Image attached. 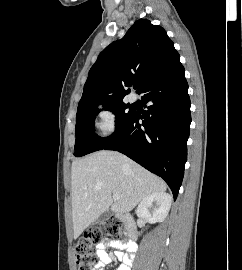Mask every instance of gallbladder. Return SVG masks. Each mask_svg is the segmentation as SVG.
<instances>
[{"instance_id":"bac80fb5","label":"gallbladder","mask_w":242,"mask_h":270,"mask_svg":"<svg viewBox=\"0 0 242 270\" xmlns=\"http://www.w3.org/2000/svg\"><path fill=\"white\" fill-rule=\"evenodd\" d=\"M112 215V211L111 209H107L106 211H104L97 219L98 223H104L106 222Z\"/></svg>"}]
</instances>
